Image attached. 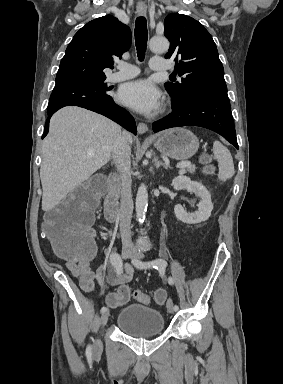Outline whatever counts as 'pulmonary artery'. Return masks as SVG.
Here are the masks:
<instances>
[{
  "label": "pulmonary artery",
  "instance_id": "e3ab8cb5",
  "mask_svg": "<svg viewBox=\"0 0 283 384\" xmlns=\"http://www.w3.org/2000/svg\"><path fill=\"white\" fill-rule=\"evenodd\" d=\"M118 71L111 73L107 77V81L117 83L123 80L130 79L139 73V69L126 63L119 62L117 65ZM150 71H169L170 65L168 61H151L149 65Z\"/></svg>",
  "mask_w": 283,
  "mask_h": 384
}]
</instances>
